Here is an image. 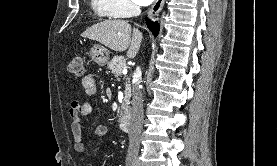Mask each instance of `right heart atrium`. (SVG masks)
Returning a JSON list of instances; mask_svg holds the SVG:
<instances>
[{"instance_id":"d8ad5b80","label":"right heart atrium","mask_w":277,"mask_h":166,"mask_svg":"<svg viewBox=\"0 0 277 166\" xmlns=\"http://www.w3.org/2000/svg\"><path fill=\"white\" fill-rule=\"evenodd\" d=\"M109 7L118 17H124L134 14L137 6L133 0H107Z\"/></svg>"}]
</instances>
